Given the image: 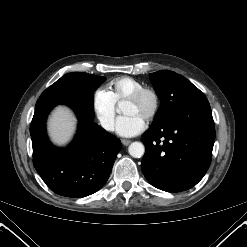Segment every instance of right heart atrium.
Masks as SVG:
<instances>
[{"instance_id": "right-heart-atrium-1", "label": "right heart atrium", "mask_w": 247, "mask_h": 247, "mask_svg": "<svg viewBox=\"0 0 247 247\" xmlns=\"http://www.w3.org/2000/svg\"><path fill=\"white\" fill-rule=\"evenodd\" d=\"M94 112L100 126L108 132L115 128L116 102L107 89H98L93 98Z\"/></svg>"}]
</instances>
